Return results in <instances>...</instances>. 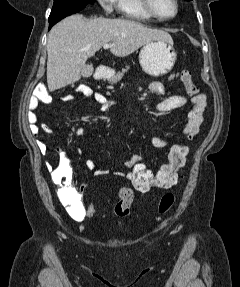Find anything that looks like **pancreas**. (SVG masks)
I'll return each instance as SVG.
<instances>
[{
    "instance_id": "1",
    "label": "pancreas",
    "mask_w": 240,
    "mask_h": 287,
    "mask_svg": "<svg viewBox=\"0 0 240 287\" xmlns=\"http://www.w3.org/2000/svg\"><path fill=\"white\" fill-rule=\"evenodd\" d=\"M129 69H130V67H129V66H126L125 68L122 69L121 72L119 71L115 76H113L112 78H110L109 81H110L111 83H116V82L120 81V80L123 78L124 73H125L126 71H128ZM174 78H175V75L172 74V75H170L169 80H173Z\"/></svg>"
}]
</instances>
